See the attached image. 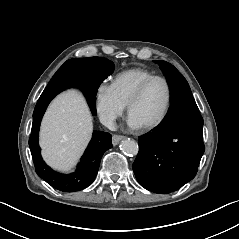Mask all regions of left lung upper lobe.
Wrapping results in <instances>:
<instances>
[{
    "mask_svg": "<svg viewBox=\"0 0 239 239\" xmlns=\"http://www.w3.org/2000/svg\"><path fill=\"white\" fill-rule=\"evenodd\" d=\"M155 62L159 64L171 87V101L183 95L191 94V89L186 79L173 65L166 61L156 60Z\"/></svg>",
    "mask_w": 239,
    "mask_h": 239,
    "instance_id": "obj_1",
    "label": "left lung upper lobe"
}]
</instances>
